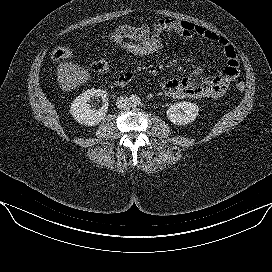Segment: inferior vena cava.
I'll use <instances>...</instances> for the list:
<instances>
[{"mask_svg":"<svg viewBox=\"0 0 272 272\" xmlns=\"http://www.w3.org/2000/svg\"><path fill=\"white\" fill-rule=\"evenodd\" d=\"M116 105H117V108L121 110H127L131 107L130 98L126 96H121L117 98Z\"/></svg>","mask_w":272,"mask_h":272,"instance_id":"obj_1","label":"inferior vena cava"}]
</instances>
